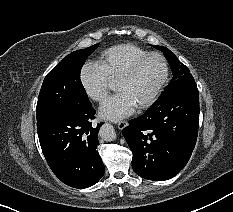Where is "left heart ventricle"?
<instances>
[{
	"mask_svg": "<svg viewBox=\"0 0 233 212\" xmlns=\"http://www.w3.org/2000/svg\"><path fill=\"white\" fill-rule=\"evenodd\" d=\"M164 73L163 63L152 57L144 61L132 78L116 82L117 92H124L137 107L154 92Z\"/></svg>",
	"mask_w": 233,
	"mask_h": 212,
	"instance_id": "obj_1",
	"label": "left heart ventricle"
}]
</instances>
